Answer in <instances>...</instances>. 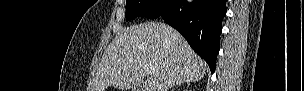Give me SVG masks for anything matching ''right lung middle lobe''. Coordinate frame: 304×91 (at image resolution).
I'll list each match as a JSON object with an SVG mask.
<instances>
[{"label": "right lung middle lobe", "mask_w": 304, "mask_h": 91, "mask_svg": "<svg viewBox=\"0 0 304 91\" xmlns=\"http://www.w3.org/2000/svg\"><path fill=\"white\" fill-rule=\"evenodd\" d=\"M169 0H126L127 20H133L135 17H146L156 19L160 16Z\"/></svg>", "instance_id": "obj_1"}]
</instances>
